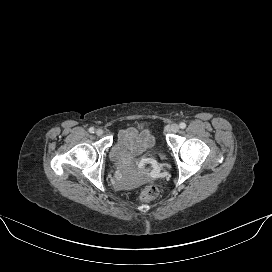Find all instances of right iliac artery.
<instances>
[{
	"instance_id": "1",
	"label": "right iliac artery",
	"mask_w": 272,
	"mask_h": 272,
	"mask_svg": "<svg viewBox=\"0 0 272 272\" xmlns=\"http://www.w3.org/2000/svg\"><path fill=\"white\" fill-rule=\"evenodd\" d=\"M94 131H95L94 127H90V128H89V132H90V133H94Z\"/></svg>"
}]
</instances>
